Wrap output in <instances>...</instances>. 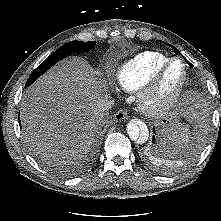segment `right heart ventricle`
<instances>
[{"mask_svg": "<svg viewBox=\"0 0 221 221\" xmlns=\"http://www.w3.org/2000/svg\"><path fill=\"white\" fill-rule=\"evenodd\" d=\"M170 58L157 51H145L122 64L116 72L119 85L128 92L141 90Z\"/></svg>", "mask_w": 221, "mask_h": 221, "instance_id": "1", "label": "right heart ventricle"}]
</instances>
